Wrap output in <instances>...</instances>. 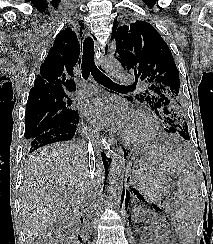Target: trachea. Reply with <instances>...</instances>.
Instances as JSON below:
<instances>
[{
	"label": "trachea",
	"instance_id": "3493384b",
	"mask_svg": "<svg viewBox=\"0 0 213 244\" xmlns=\"http://www.w3.org/2000/svg\"><path fill=\"white\" fill-rule=\"evenodd\" d=\"M94 41L91 37H87L83 43V55H82V76L84 79H88L92 74L93 78L100 84L108 88H123L124 85H118L114 83L110 78L103 74L95 65L94 62Z\"/></svg>",
	"mask_w": 213,
	"mask_h": 244
}]
</instances>
